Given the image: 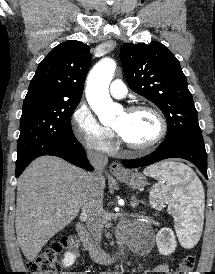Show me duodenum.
I'll return each mask as SVG.
<instances>
[{"label": "duodenum", "mask_w": 215, "mask_h": 274, "mask_svg": "<svg viewBox=\"0 0 215 274\" xmlns=\"http://www.w3.org/2000/svg\"><path fill=\"white\" fill-rule=\"evenodd\" d=\"M77 232L83 247L89 252L95 261L103 264H112L117 261L118 254L110 253L97 245L90 237L88 231L82 223L77 225Z\"/></svg>", "instance_id": "obj_1"}]
</instances>
